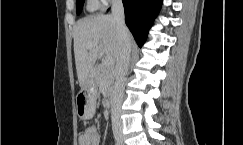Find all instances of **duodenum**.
<instances>
[{
	"mask_svg": "<svg viewBox=\"0 0 243 145\" xmlns=\"http://www.w3.org/2000/svg\"><path fill=\"white\" fill-rule=\"evenodd\" d=\"M114 101H115L114 94L110 93L109 96H108V103H109V105L113 106L114 105Z\"/></svg>",
	"mask_w": 243,
	"mask_h": 145,
	"instance_id": "410a0bca",
	"label": "duodenum"
}]
</instances>
